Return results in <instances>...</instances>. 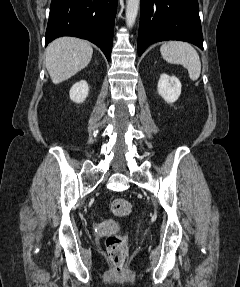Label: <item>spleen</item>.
<instances>
[{
	"instance_id": "obj_1",
	"label": "spleen",
	"mask_w": 240,
	"mask_h": 287,
	"mask_svg": "<svg viewBox=\"0 0 240 287\" xmlns=\"http://www.w3.org/2000/svg\"><path fill=\"white\" fill-rule=\"evenodd\" d=\"M160 52L164 60L171 64H180L188 70L192 81L199 78L201 62L197 51L187 42L168 41L162 44Z\"/></svg>"
}]
</instances>
